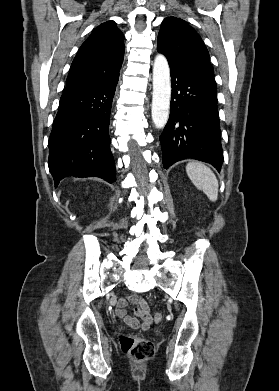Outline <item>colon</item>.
<instances>
[{
  "label": "colon",
  "instance_id": "colon-1",
  "mask_svg": "<svg viewBox=\"0 0 279 391\" xmlns=\"http://www.w3.org/2000/svg\"><path fill=\"white\" fill-rule=\"evenodd\" d=\"M162 319L161 313L154 315L155 322H160ZM119 340L122 350L136 360H147L154 355V344L145 338L122 334Z\"/></svg>",
  "mask_w": 279,
  "mask_h": 391
}]
</instances>
